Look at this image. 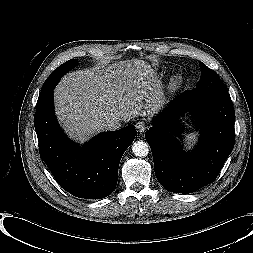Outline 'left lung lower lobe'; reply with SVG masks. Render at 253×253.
I'll return each mask as SVG.
<instances>
[{"label": "left lung lower lobe", "instance_id": "obj_1", "mask_svg": "<svg viewBox=\"0 0 253 253\" xmlns=\"http://www.w3.org/2000/svg\"><path fill=\"white\" fill-rule=\"evenodd\" d=\"M189 109L195 117L200 140L194 151L183 153L178 116ZM153 154L159 183L174 193H192L212 183L234 146V108L222 83L198 95L188 90L176 97L145 133Z\"/></svg>", "mask_w": 253, "mask_h": 253}]
</instances>
